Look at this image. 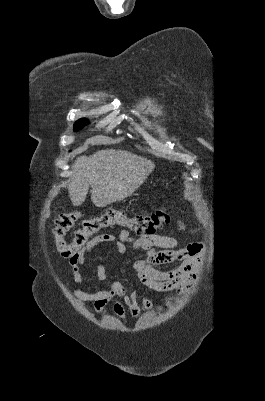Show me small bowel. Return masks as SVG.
Wrapping results in <instances>:
<instances>
[{
    "mask_svg": "<svg viewBox=\"0 0 265 401\" xmlns=\"http://www.w3.org/2000/svg\"><path fill=\"white\" fill-rule=\"evenodd\" d=\"M178 227L182 230L186 228L182 221H178ZM111 244L115 250L123 254L127 251V244L131 243L136 252L142 253L133 264L132 268L141 284L155 290L164 291L176 289L180 295L188 293L192 282L197 276L200 266V255L202 253V244L190 243L184 247H179L176 238L166 235H144L138 238L130 237L125 230L117 236L111 234H100L87 241L85 247L69 258V265L73 275L74 282L80 286H88L82 278L80 267L86 266V256L99 244ZM182 261V264L169 271H161L155 268L160 264ZM96 280L104 282L107 280L106 267L103 263L96 266ZM76 299L81 302H92L95 312L103 313L104 307L115 299L113 311L115 315L126 319V309L134 317L141 315L142 310L153 308L152 302L146 297H140L137 291L127 292L124 283L115 281L103 290L96 292H87L81 289H73Z\"/></svg>",
    "mask_w": 265,
    "mask_h": 401,
    "instance_id": "obj_1",
    "label": "small bowel"
}]
</instances>
